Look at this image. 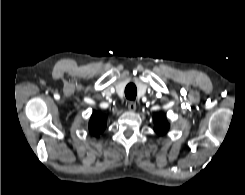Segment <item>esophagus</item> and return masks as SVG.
Returning <instances> with one entry per match:
<instances>
[{
    "mask_svg": "<svg viewBox=\"0 0 245 195\" xmlns=\"http://www.w3.org/2000/svg\"><path fill=\"white\" fill-rule=\"evenodd\" d=\"M128 110L132 112L136 110V103L134 101L128 102Z\"/></svg>",
    "mask_w": 245,
    "mask_h": 195,
    "instance_id": "esophagus-1",
    "label": "esophagus"
}]
</instances>
